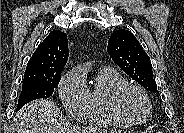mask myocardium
Listing matches in <instances>:
<instances>
[{
	"instance_id": "myocardium-1",
	"label": "myocardium",
	"mask_w": 184,
	"mask_h": 133,
	"mask_svg": "<svg viewBox=\"0 0 184 133\" xmlns=\"http://www.w3.org/2000/svg\"><path fill=\"white\" fill-rule=\"evenodd\" d=\"M130 91L138 92L146 102L147 105V112L142 118H132L130 117L124 110L123 107V99L125 95ZM111 105L114 113L119 117L124 123L130 125H138L145 122L152 112V104L149 95L147 92L140 86L132 83L124 84L118 87L111 98Z\"/></svg>"
}]
</instances>
